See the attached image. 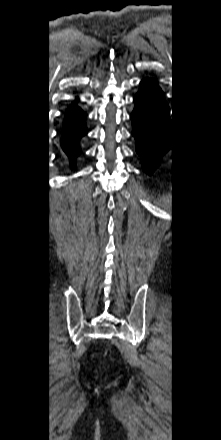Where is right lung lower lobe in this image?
Returning a JSON list of instances; mask_svg holds the SVG:
<instances>
[{
	"mask_svg": "<svg viewBox=\"0 0 221 440\" xmlns=\"http://www.w3.org/2000/svg\"><path fill=\"white\" fill-rule=\"evenodd\" d=\"M85 119L84 111L78 106H70L67 109L63 123L61 146L69 157L72 166H74L76 156L81 152L79 139L87 133Z\"/></svg>",
	"mask_w": 221,
	"mask_h": 440,
	"instance_id": "1",
	"label": "right lung lower lobe"
}]
</instances>
